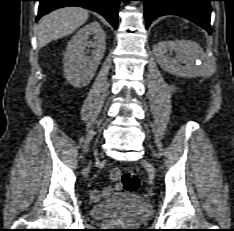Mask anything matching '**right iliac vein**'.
Masks as SVG:
<instances>
[{
  "label": "right iliac vein",
  "instance_id": "obj_1",
  "mask_svg": "<svg viewBox=\"0 0 234 231\" xmlns=\"http://www.w3.org/2000/svg\"><path fill=\"white\" fill-rule=\"evenodd\" d=\"M86 174H87V169L83 171V175H86Z\"/></svg>",
  "mask_w": 234,
  "mask_h": 231
}]
</instances>
